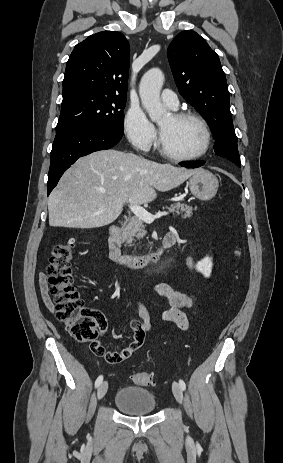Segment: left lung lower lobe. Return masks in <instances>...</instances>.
<instances>
[{
	"mask_svg": "<svg viewBox=\"0 0 283 463\" xmlns=\"http://www.w3.org/2000/svg\"><path fill=\"white\" fill-rule=\"evenodd\" d=\"M205 161H197V162H182L181 165L188 168H197L204 165Z\"/></svg>",
	"mask_w": 283,
	"mask_h": 463,
	"instance_id": "1",
	"label": "left lung lower lobe"
}]
</instances>
